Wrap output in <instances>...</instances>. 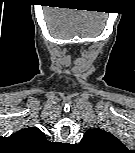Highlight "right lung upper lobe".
I'll list each match as a JSON object with an SVG mask.
<instances>
[{
  "instance_id": "cb5924a9",
  "label": "right lung upper lobe",
  "mask_w": 135,
  "mask_h": 153,
  "mask_svg": "<svg viewBox=\"0 0 135 153\" xmlns=\"http://www.w3.org/2000/svg\"><path fill=\"white\" fill-rule=\"evenodd\" d=\"M15 135L30 142H41L46 140L43 132L37 127L22 129L18 131Z\"/></svg>"
}]
</instances>
